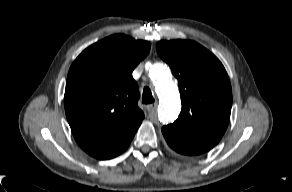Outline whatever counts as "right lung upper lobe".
<instances>
[{"label": "right lung upper lobe", "instance_id": "cb5924a9", "mask_svg": "<svg viewBox=\"0 0 292 192\" xmlns=\"http://www.w3.org/2000/svg\"><path fill=\"white\" fill-rule=\"evenodd\" d=\"M149 51V42L116 34L89 46L73 62L64 103L79 145L114 142L137 131L144 114L132 71Z\"/></svg>", "mask_w": 292, "mask_h": 192}]
</instances>
